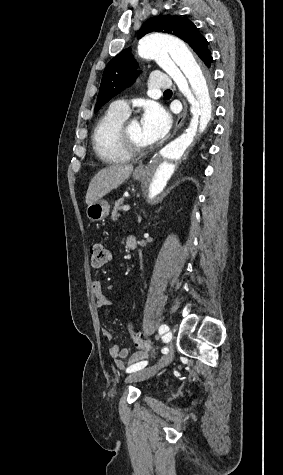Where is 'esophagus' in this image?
<instances>
[{"instance_id":"obj_1","label":"esophagus","mask_w":283,"mask_h":475,"mask_svg":"<svg viewBox=\"0 0 283 475\" xmlns=\"http://www.w3.org/2000/svg\"><path fill=\"white\" fill-rule=\"evenodd\" d=\"M186 114H187V103L185 102V100H183V111L182 113H180V115L178 116L177 120H176V123H175V127H174V131H173V135H175V133L177 132V130L179 129V127L181 126L184 118L186 117ZM136 172H143L144 171V167L143 166H139L135 169Z\"/></svg>"}]
</instances>
